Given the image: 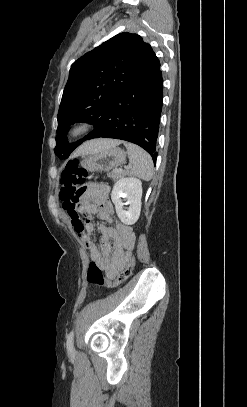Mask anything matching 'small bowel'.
Wrapping results in <instances>:
<instances>
[{"instance_id":"obj_1","label":"small bowel","mask_w":247,"mask_h":407,"mask_svg":"<svg viewBox=\"0 0 247 407\" xmlns=\"http://www.w3.org/2000/svg\"><path fill=\"white\" fill-rule=\"evenodd\" d=\"M109 192L108 185L91 184L86 188L82 202L73 204L70 201H63V209L91 260L105 271L108 279L112 280L128 264L135 235L129 226L114 221V207L109 200ZM94 215L103 221L99 227L100 247L92 236Z\"/></svg>"}]
</instances>
